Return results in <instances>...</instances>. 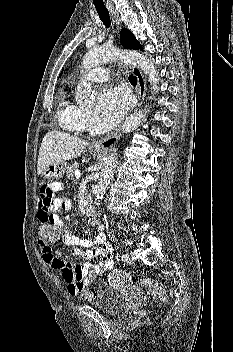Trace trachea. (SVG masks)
<instances>
[{
    "instance_id": "3493384b",
    "label": "trachea",
    "mask_w": 233,
    "mask_h": 352,
    "mask_svg": "<svg viewBox=\"0 0 233 352\" xmlns=\"http://www.w3.org/2000/svg\"><path fill=\"white\" fill-rule=\"evenodd\" d=\"M96 11L99 15V18L103 22L104 26L106 28H109L111 25V20H110V15H109L108 10L106 8H97L96 7ZM128 79L131 84H134V85L137 84V77L136 76L130 75Z\"/></svg>"
}]
</instances>
